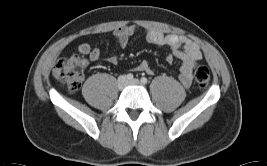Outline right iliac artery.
I'll return each instance as SVG.
<instances>
[{
	"mask_svg": "<svg viewBox=\"0 0 267 166\" xmlns=\"http://www.w3.org/2000/svg\"><path fill=\"white\" fill-rule=\"evenodd\" d=\"M127 79L132 80L133 79V74H127Z\"/></svg>",
	"mask_w": 267,
	"mask_h": 166,
	"instance_id": "right-iliac-artery-1",
	"label": "right iliac artery"
}]
</instances>
